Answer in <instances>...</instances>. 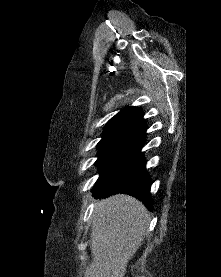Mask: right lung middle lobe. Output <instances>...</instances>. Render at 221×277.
I'll return each instance as SVG.
<instances>
[{
	"label": "right lung middle lobe",
	"instance_id": "dd1d6c3e",
	"mask_svg": "<svg viewBox=\"0 0 221 277\" xmlns=\"http://www.w3.org/2000/svg\"><path fill=\"white\" fill-rule=\"evenodd\" d=\"M143 125L106 126L98 143L100 177L118 169L145 141Z\"/></svg>",
	"mask_w": 221,
	"mask_h": 277
}]
</instances>
